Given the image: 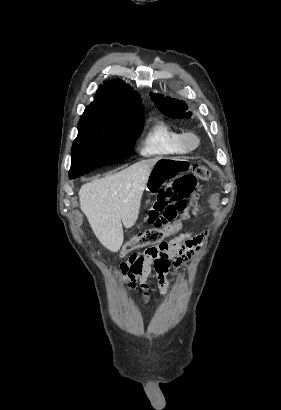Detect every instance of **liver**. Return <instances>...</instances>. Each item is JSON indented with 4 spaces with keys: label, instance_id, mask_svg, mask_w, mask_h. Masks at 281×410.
Masks as SVG:
<instances>
[{
    "label": "liver",
    "instance_id": "6515ba94",
    "mask_svg": "<svg viewBox=\"0 0 281 410\" xmlns=\"http://www.w3.org/2000/svg\"><path fill=\"white\" fill-rule=\"evenodd\" d=\"M157 159L142 160L79 190L82 212L100 243L111 252L122 246V223L131 228L138 219L142 194Z\"/></svg>",
    "mask_w": 281,
    "mask_h": 410
}]
</instances>
